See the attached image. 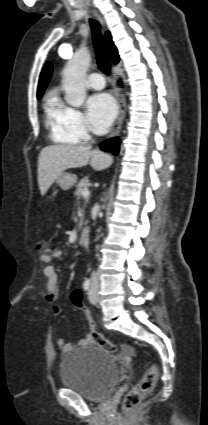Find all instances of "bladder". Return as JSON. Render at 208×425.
<instances>
[{
	"label": "bladder",
	"mask_w": 208,
	"mask_h": 425,
	"mask_svg": "<svg viewBox=\"0 0 208 425\" xmlns=\"http://www.w3.org/2000/svg\"><path fill=\"white\" fill-rule=\"evenodd\" d=\"M60 374L66 388L91 401L109 396L119 380L113 356L96 346L78 348L65 355Z\"/></svg>",
	"instance_id": "31cf9c89"
}]
</instances>
